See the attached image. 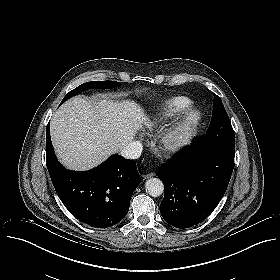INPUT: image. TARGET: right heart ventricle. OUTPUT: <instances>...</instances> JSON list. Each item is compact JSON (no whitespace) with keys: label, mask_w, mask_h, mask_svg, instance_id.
I'll use <instances>...</instances> for the list:
<instances>
[{"label":"right heart ventricle","mask_w":280,"mask_h":280,"mask_svg":"<svg viewBox=\"0 0 280 280\" xmlns=\"http://www.w3.org/2000/svg\"><path fill=\"white\" fill-rule=\"evenodd\" d=\"M190 102L186 96L183 95H173L166 103L167 117L172 118L177 113L181 112L189 106Z\"/></svg>","instance_id":"e07e8e85"}]
</instances>
